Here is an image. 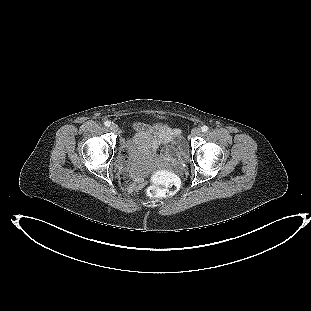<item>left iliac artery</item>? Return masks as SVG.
<instances>
[{
    "mask_svg": "<svg viewBox=\"0 0 311 311\" xmlns=\"http://www.w3.org/2000/svg\"><path fill=\"white\" fill-rule=\"evenodd\" d=\"M208 126L204 125L201 127L202 132H207L208 131Z\"/></svg>",
    "mask_w": 311,
    "mask_h": 311,
    "instance_id": "1",
    "label": "left iliac artery"
}]
</instances>
